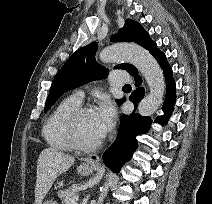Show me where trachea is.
Here are the masks:
<instances>
[{
  "label": "trachea",
  "instance_id": "obj_1",
  "mask_svg": "<svg viewBox=\"0 0 212 204\" xmlns=\"http://www.w3.org/2000/svg\"><path fill=\"white\" fill-rule=\"evenodd\" d=\"M123 89H131V86L129 84H126L123 86Z\"/></svg>",
  "mask_w": 212,
  "mask_h": 204
}]
</instances>
